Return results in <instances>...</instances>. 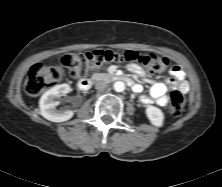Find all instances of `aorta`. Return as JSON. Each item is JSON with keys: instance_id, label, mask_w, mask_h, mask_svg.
Here are the masks:
<instances>
[{"instance_id": "aorta-1", "label": "aorta", "mask_w": 222, "mask_h": 187, "mask_svg": "<svg viewBox=\"0 0 222 187\" xmlns=\"http://www.w3.org/2000/svg\"><path fill=\"white\" fill-rule=\"evenodd\" d=\"M113 88L116 92H123L125 90V83L122 81H117L114 83Z\"/></svg>"}]
</instances>
